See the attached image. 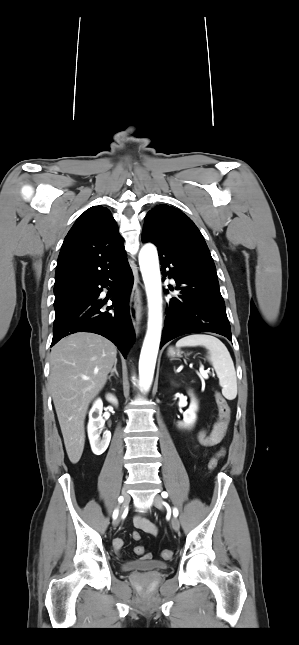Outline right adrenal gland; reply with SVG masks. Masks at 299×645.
<instances>
[{
	"instance_id": "obj_1",
	"label": "right adrenal gland",
	"mask_w": 299,
	"mask_h": 645,
	"mask_svg": "<svg viewBox=\"0 0 299 645\" xmlns=\"http://www.w3.org/2000/svg\"><path fill=\"white\" fill-rule=\"evenodd\" d=\"M116 366H117V361L114 363V367H113V369L110 371V375H109V377H108V379H109L110 381H111V377L114 375V373L116 374V376H117V377H119V374H118V372H117V368H116Z\"/></svg>"
}]
</instances>
